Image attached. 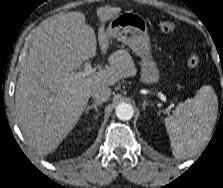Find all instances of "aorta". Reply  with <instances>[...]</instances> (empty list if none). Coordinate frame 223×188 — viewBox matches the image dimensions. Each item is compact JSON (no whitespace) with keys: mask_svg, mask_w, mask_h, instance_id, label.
<instances>
[{"mask_svg":"<svg viewBox=\"0 0 223 188\" xmlns=\"http://www.w3.org/2000/svg\"><path fill=\"white\" fill-rule=\"evenodd\" d=\"M116 116L122 121L130 120L134 115V109L131 104L119 103L116 107Z\"/></svg>","mask_w":223,"mask_h":188,"instance_id":"obj_1","label":"aorta"}]
</instances>
